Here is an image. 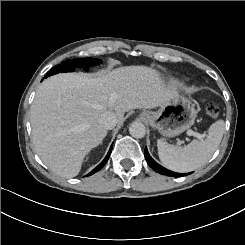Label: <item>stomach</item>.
Masks as SVG:
<instances>
[{"label":"stomach","instance_id":"0dacf381","mask_svg":"<svg viewBox=\"0 0 245 245\" xmlns=\"http://www.w3.org/2000/svg\"><path fill=\"white\" fill-rule=\"evenodd\" d=\"M143 119L164 136H176L189 129L197 117V109L190 98L178 93L162 103L155 112H144Z\"/></svg>","mask_w":245,"mask_h":245}]
</instances>
